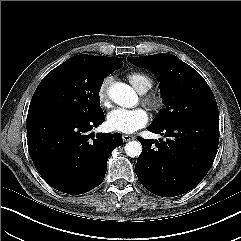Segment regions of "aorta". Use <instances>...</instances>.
Segmentation results:
<instances>
[{
	"instance_id": "obj_1",
	"label": "aorta",
	"mask_w": 241,
	"mask_h": 241,
	"mask_svg": "<svg viewBox=\"0 0 241 241\" xmlns=\"http://www.w3.org/2000/svg\"><path fill=\"white\" fill-rule=\"evenodd\" d=\"M110 99L119 106L130 108L133 107L137 95L133 88L121 82L114 83L108 90ZM142 152V145L138 141H129L125 145V153L129 157H138Z\"/></svg>"
}]
</instances>
